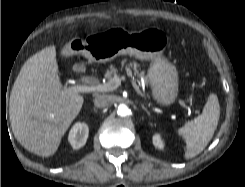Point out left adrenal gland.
Returning a JSON list of instances; mask_svg holds the SVG:
<instances>
[{
	"label": "left adrenal gland",
	"instance_id": "left-adrenal-gland-1",
	"mask_svg": "<svg viewBox=\"0 0 245 187\" xmlns=\"http://www.w3.org/2000/svg\"><path fill=\"white\" fill-rule=\"evenodd\" d=\"M141 107L148 115H150L149 111L143 105Z\"/></svg>",
	"mask_w": 245,
	"mask_h": 187
}]
</instances>
